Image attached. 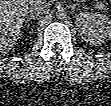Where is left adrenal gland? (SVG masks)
<instances>
[{
	"label": "left adrenal gland",
	"mask_w": 111,
	"mask_h": 106,
	"mask_svg": "<svg viewBox=\"0 0 111 106\" xmlns=\"http://www.w3.org/2000/svg\"><path fill=\"white\" fill-rule=\"evenodd\" d=\"M76 7H82V8H85L84 6L79 5V4H78V5H76V4H73V5H72V8H73V9H75Z\"/></svg>",
	"instance_id": "a2214340"
}]
</instances>
